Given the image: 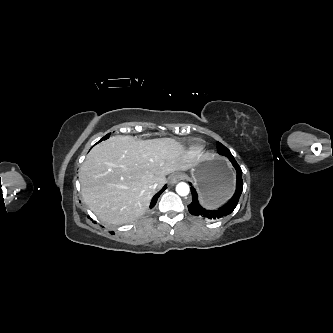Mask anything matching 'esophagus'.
I'll return each mask as SVG.
<instances>
[{"label": "esophagus", "mask_w": 333, "mask_h": 333, "mask_svg": "<svg viewBox=\"0 0 333 333\" xmlns=\"http://www.w3.org/2000/svg\"><path fill=\"white\" fill-rule=\"evenodd\" d=\"M182 179V175L180 173H174L169 177V184L174 185Z\"/></svg>", "instance_id": "34e87169"}]
</instances>
